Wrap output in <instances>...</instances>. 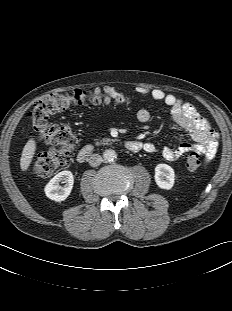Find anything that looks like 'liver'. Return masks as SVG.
<instances>
[{
  "mask_svg": "<svg viewBox=\"0 0 232 311\" xmlns=\"http://www.w3.org/2000/svg\"><path fill=\"white\" fill-rule=\"evenodd\" d=\"M36 151V141L31 138L28 140L26 145L23 148L21 159H20V167L22 171H26L33 159V156Z\"/></svg>",
  "mask_w": 232,
  "mask_h": 311,
  "instance_id": "obj_1",
  "label": "liver"
}]
</instances>
